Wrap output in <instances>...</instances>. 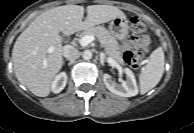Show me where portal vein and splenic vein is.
Here are the masks:
<instances>
[{
	"label": "portal vein and splenic vein",
	"mask_w": 194,
	"mask_h": 133,
	"mask_svg": "<svg viewBox=\"0 0 194 133\" xmlns=\"http://www.w3.org/2000/svg\"><path fill=\"white\" fill-rule=\"evenodd\" d=\"M94 36H92V35H86V36H83L80 40H79V42H80V44L82 45V46H87V45H89L92 41H94ZM54 51V48L53 47H50L49 49H48V52L49 53H51V52H53Z\"/></svg>",
	"instance_id": "18ae733b"
}]
</instances>
